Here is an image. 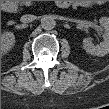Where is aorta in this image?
Masks as SVG:
<instances>
[{
    "label": "aorta",
    "instance_id": "1",
    "mask_svg": "<svg viewBox=\"0 0 109 109\" xmlns=\"http://www.w3.org/2000/svg\"><path fill=\"white\" fill-rule=\"evenodd\" d=\"M56 22L51 16H46L42 19L41 26L44 30H52L55 28Z\"/></svg>",
    "mask_w": 109,
    "mask_h": 109
}]
</instances>
